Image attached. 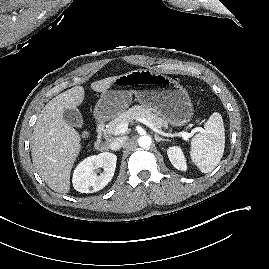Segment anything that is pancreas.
Segmentation results:
<instances>
[{
    "label": "pancreas",
    "mask_w": 269,
    "mask_h": 269,
    "mask_svg": "<svg viewBox=\"0 0 269 269\" xmlns=\"http://www.w3.org/2000/svg\"><path fill=\"white\" fill-rule=\"evenodd\" d=\"M138 118H145L154 124L157 128H167V122L160 117L152 108L135 105L129 110L121 113L108 123L107 133L109 135H117L116 128L121 123H130Z\"/></svg>",
    "instance_id": "pancreas-1"
}]
</instances>
